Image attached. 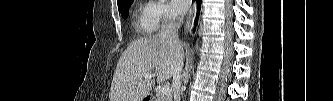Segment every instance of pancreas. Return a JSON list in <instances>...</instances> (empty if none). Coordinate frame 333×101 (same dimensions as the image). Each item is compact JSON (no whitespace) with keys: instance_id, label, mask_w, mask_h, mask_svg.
Wrapping results in <instances>:
<instances>
[{"instance_id":"cf45deb5","label":"pancreas","mask_w":333,"mask_h":101,"mask_svg":"<svg viewBox=\"0 0 333 101\" xmlns=\"http://www.w3.org/2000/svg\"><path fill=\"white\" fill-rule=\"evenodd\" d=\"M156 101H171V94L163 95L162 93H159L156 96Z\"/></svg>"}]
</instances>
